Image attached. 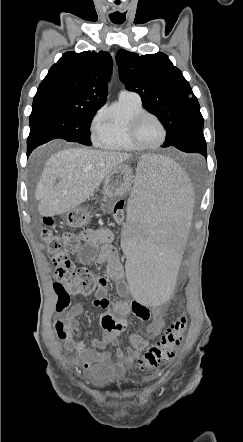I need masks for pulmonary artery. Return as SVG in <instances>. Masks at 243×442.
<instances>
[{"instance_id":"pulmonary-artery-1","label":"pulmonary artery","mask_w":243,"mask_h":442,"mask_svg":"<svg viewBox=\"0 0 243 442\" xmlns=\"http://www.w3.org/2000/svg\"><path fill=\"white\" fill-rule=\"evenodd\" d=\"M119 98L120 99H135V100H139L140 96L137 93L133 92V91L123 90V91L120 92Z\"/></svg>"}]
</instances>
